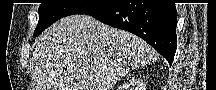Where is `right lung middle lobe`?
Returning <instances> with one entry per match:
<instances>
[{"instance_id":"dd1d6c3e","label":"right lung middle lobe","mask_w":216,"mask_h":90,"mask_svg":"<svg viewBox=\"0 0 216 90\" xmlns=\"http://www.w3.org/2000/svg\"><path fill=\"white\" fill-rule=\"evenodd\" d=\"M109 4H41L38 10L39 21L34 31V37L39 36L42 31L52 25L57 20L73 15L88 14L92 11L99 10Z\"/></svg>"}]
</instances>
